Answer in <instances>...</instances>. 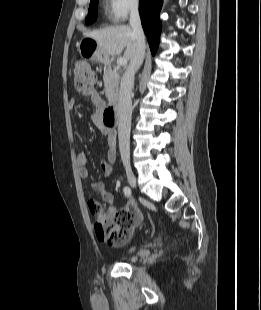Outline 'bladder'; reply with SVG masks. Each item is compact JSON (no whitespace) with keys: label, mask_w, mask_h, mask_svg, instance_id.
I'll return each instance as SVG.
<instances>
[{"label":"bladder","mask_w":261,"mask_h":310,"mask_svg":"<svg viewBox=\"0 0 261 310\" xmlns=\"http://www.w3.org/2000/svg\"><path fill=\"white\" fill-rule=\"evenodd\" d=\"M135 250H136L135 245L129 246L127 249H125V251L123 252V255L124 256H130L134 253Z\"/></svg>","instance_id":"31cf9c89"}]
</instances>
